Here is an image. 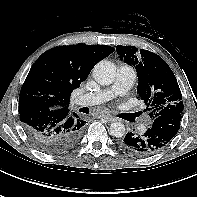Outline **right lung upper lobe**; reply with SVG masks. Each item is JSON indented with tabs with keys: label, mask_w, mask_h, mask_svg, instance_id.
Returning <instances> with one entry per match:
<instances>
[{
	"label": "right lung upper lobe",
	"mask_w": 197,
	"mask_h": 197,
	"mask_svg": "<svg viewBox=\"0 0 197 197\" xmlns=\"http://www.w3.org/2000/svg\"><path fill=\"white\" fill-rule=\"evenodd\" d=\"M114 51L106 45L77 44L53 48L32 65L20 96L51 109L68 108L70 96L92 68Z\"/></svg>",
	"instance_id": "right-lung-upper-lobe-1"
}]
</instances>
